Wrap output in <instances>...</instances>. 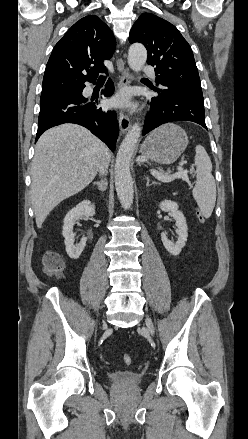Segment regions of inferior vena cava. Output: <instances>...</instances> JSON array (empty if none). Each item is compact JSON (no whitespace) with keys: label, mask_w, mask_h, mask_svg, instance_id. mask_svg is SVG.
I'll list each match as a JSON object with an SVG mask.
<instances>
[{"label":"inferior vena cava","mask_w":248,"mask_h":439,"mask_svg":"<svg viewBox=\"0 0 248 439\" xmlns=\"http://www.w3.org/2000/svg\"><path fill=\"white\" fill-rule=\"evenodd\" d=\"M109 161H110V155H108L105 160L102 162L100 169H99V174L100 175H104L107 172V168L109 165Z\"/></svg>","instance_id":"1"}]
</instances>
